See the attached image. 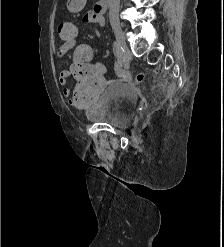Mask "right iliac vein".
I'll return each mask as SVG.
<instances>
[{"instance_id":"63e3f726","label":"right iliac vein","mask_w":224,"mask_h":247,"mask_svg":"<svg viewBox=\"0 0 224 247\" xmlns=\"http://www.w3.org/2000/svg\"><path fill=\"white\" fill-rule=\"evenodd\" d=\"M113 31L116 36L117 42L122 50L123 58H125L128 48H127L124 33L118 24L113 25Z\"/></svg>"}]
</instances>
